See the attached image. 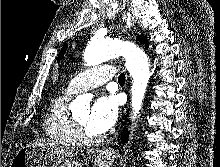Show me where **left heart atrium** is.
I'll return each mask as SVG.
<instances>
[{
    "label": "left heart atrium",
    "mask_w": 220,
    "mask_h": 167,
    "mask_svg": "<svg viewBox=\"0 0 220 167\" xmlns=\"http://www.w3.org/2000/svg\"><path fill=\"white\" fill-rule=\"evenodd\" d=\"M118 101L114 95L96 99L88 115V126L97 134L108 131L116 122Z\"/></svg>",
    "instance_id": "obj_1"
}]
</instances>
